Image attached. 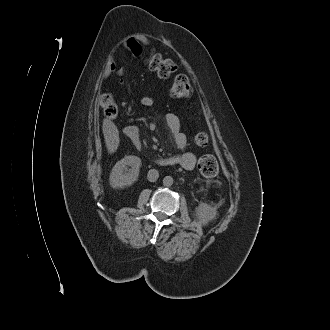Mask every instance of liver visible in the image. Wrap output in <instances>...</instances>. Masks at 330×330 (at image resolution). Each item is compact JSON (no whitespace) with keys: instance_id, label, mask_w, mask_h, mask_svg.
Instances as JSON below:
<instances>
[{"instance_id":"obj_1","label":"liver","mask_w":330,"mask_h":330,"mask_svg":"<svg viewBox=\"0 0 330 330\" xmlns=\"http://www.w3.org/2000/svg\"><path fill=\"white\" fill-rule=\"evenodd\" d=\"M103 133L105 138L106 147L109 153H113L119 146V131L117 126L110 120H103Z\"/></svg>"}]
</instances>
